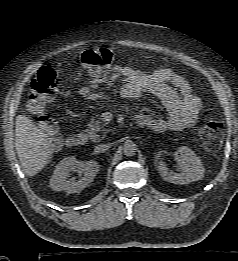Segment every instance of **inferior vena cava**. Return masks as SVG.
<instances>
[{"instance_id":"obj_1","label":"inferior vena cava","mask_w":238,"mask_h":261,"mask_svg":"<svg viewBox=\"0 0 238 261\" xmlns=\"http://www.w3.org/2000/svg\"><path fill=\"white\" fill-rule=\"evenodd\" d=\"M110 148L109 144H100L98 146H96L95 151L97 153H102L105 152L106 150H108Z\"/></svg>"}]
</instances>
